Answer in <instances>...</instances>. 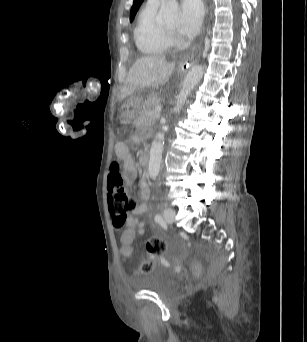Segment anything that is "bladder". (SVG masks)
Here are the masks:
<instances>
[{
  "label": "bladder",
  "mask_w": 307,
  "mask_h": 342,
  "mask_svg": "<svg viewBox=\"0 0 307 342\" xmlns=\"http://www.w3.org/2000/svg\"><path fill=\"white\" fill-rule=\"evenodd\" d=\"M175 280L162 269L150 271L142 282V288L157 293L169 295L176 289Z\"/></svg>",
  "instance_id": "31cf9c89"
}]
</instances>
